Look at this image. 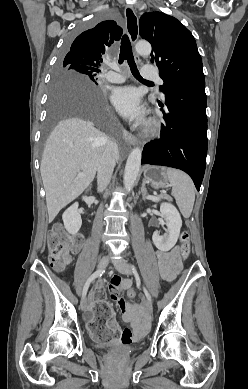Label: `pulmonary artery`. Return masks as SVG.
<instances>
[{
	"label": "pulmonary artery",
	"instance_id": "e3ab8cb5",
	"mask_svg": "<svg viewBox=\"0 0 248 389\" xmlns=\"http://www.w3.org/2000/svg\"><path fill=\"white\" fill-rule=\"evenodd\" d=\"M112 68L115 71H109L105 73L104 79L113 83H121L125 81V76L119 73L117 66L113 65ZM142 74L146 80L156 81L157 83L162 84V79L158 75H156L148 65L143 66Z\"/></svg>",
	"mask_w": 248,
	"mask_h": 389
}]
</instances>
